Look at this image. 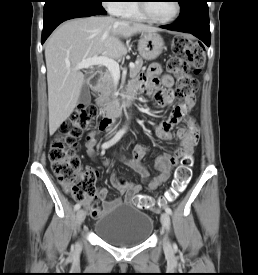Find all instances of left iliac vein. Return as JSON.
Returning a JSON list of instances; mask_svg holds the SVG:
<instances>
[{"mask_svg":"<svg viewBox=\"0 0 258 275\" xmlns=\"http://www.w3.org/2000/svg\"><path fill=\"white\" fill-rule=\"evenodd\" d=\"M161 223H162L163 227L165 228V230L167 231L169 229V226H170V217H169L168 213L164 212V213L161 214ZM165 248L166 249L170 248V243L167 239H166V242H165Z\"/></svg>","mask_w":258,"mask_h":275,"instance_id":"obj_1","label":"left iliac vein"}]
</instances>
